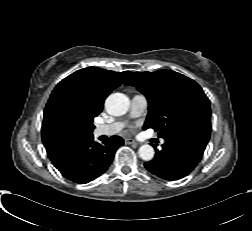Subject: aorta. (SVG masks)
Returning <instances> with one entry per match:
<instances>
[{"label":"aorta","instance_id":"obj_1","mask_svg":"<svg viewBox=\"0 0 252 231\" xmlns=\"http://www.w3.org/2000/svg\"><path fill=\"white\" fill-rule=\"evenodd\" d=\"M129 98L122 93L110 94L105 101V109L108 114L113 116L124 115L129 109ZM139 156L144 161L153 159L155 151L149 144L142 145L138 150Z\"/></svg>","mask_w":252,"mask_h":231}]
</instances>
